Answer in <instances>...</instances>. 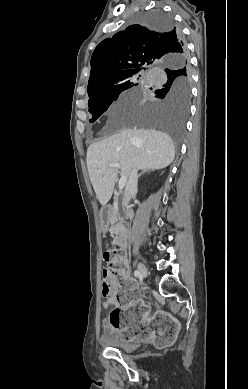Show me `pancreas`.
Segmentation results:
<instances>
[{
	"instance_id": "obj_1",
	"label": "pancreas",
	"mask_w": 248,
	"mask_h": 389,
	"mask_svg": "<svg viewBox=\"0 0 248 389\" xmlns=\"http://www.w3.org/2000/svg\"><path fill=\"white\" fill-rule=\"evenodd\" d=\"M120 215L119 210L116 205L110 207V217L109 221L112 225L111 231L118 237L123 232V225L119 221ZM119 221V222H118Z\"/></svg>"
}]
</instances>
